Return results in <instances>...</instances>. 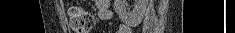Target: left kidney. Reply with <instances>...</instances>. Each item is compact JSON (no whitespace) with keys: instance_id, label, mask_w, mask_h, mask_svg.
I'll return each instance as SVG.
<instances>
[{"instance_id":"5707ae66","label":"left kidney","mask_w":235,"mask_h":33,"mask_svg":"<svg viewBox=\"0 0 235 33\" xmlns=\"http://www.w3.org/2000/svg\"><path fill=\"white\" fill-rule=\"evenodd\" d=\"M147 4L148 0H135L134 7L130 10L126 6V0H114V11L125 24L136 25L142 20Z\"/></svg>"}]
</instances>
